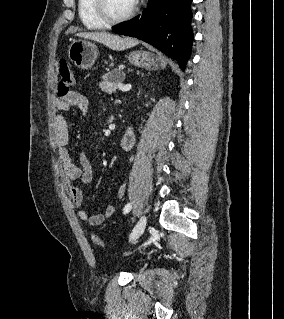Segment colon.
Here are the masks:
<instances>
[{"mask_svg": "<svg viewBox=\"0 0 284 319\" xmlns=\"http://www.w3.org/2000/svg\"><path fill=\"white\" fill-rule=\"evenodd\" d=\"M59 76L58 96L63 97L70 92L71 87L75 83V74L65 61H61L59 64ZM91 238L96 245L101 247L105 246L104 242L98 235L93 234Z\"/></svg>", "mask_w": 284, "mask_h": 319, "instance_id": "obj_1", "label": "colon"}]
</instances>
